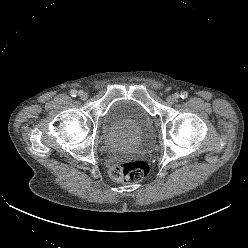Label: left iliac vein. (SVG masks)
<instances>
[{
	"mask_svg": "<svg viewBox=\"0 0 248 248\" xmlns=\"http://www.w3.org/2000/svg\"><path fill=\"white\" fill-rule=\"evenodd\" d=\"M176 99H177L176 95L175 96L174 95H170V96H168L166 98V101H167L168 104H173L176 101Z\"/></svg>",
	"mask_w": 248,
	"mask_h": 248,
	"instance_id": "1",
	"label": "left iliac vein"
}]
</instances>
